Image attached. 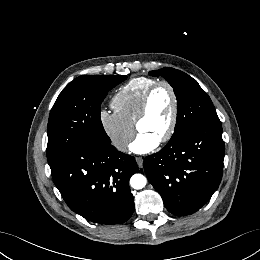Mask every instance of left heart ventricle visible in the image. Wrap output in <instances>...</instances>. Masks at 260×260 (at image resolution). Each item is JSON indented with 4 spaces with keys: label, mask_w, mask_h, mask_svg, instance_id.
Returning a JSON list of instances; mask_svg holds the SVG:
<instances>
[{
    "label": "left heart ventricle",
    "mask_w": 260,
    "mask_h": 260,
    "mask_svg": "<svg viewBox=\"0 0 260 260\" xmlns=\"http://www.w3.org/2000/svg\"><path fill=\"white\" fill-rule=\"evenodd\" d=\"M173 100L166 87L159 88L152 96L146 117L139 124V132L158 141L166 133L172 114Z\"/></svg>",
    "instance_id": "obj_1"
}]
</instances>
